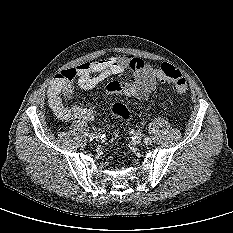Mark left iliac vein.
Wrapping results in <instances>:
<instances>
[{
  "instance_id": "4c4485c4",
  "label": "left iliac vein",
  "mask_w": 233,
  "mask_h": 233,
  "mask_svg": "<svg viewBox=\"0 0 233 233\" xmlns=\"http://www.w3.org/2000/svg\"><path fill=\"white\" fill-rule=\"evenodd\" d=\"M136 140L139 142V141H142L143 140V135L141 133H137L136 134Z\"/></svg>"
}]
</instances>
